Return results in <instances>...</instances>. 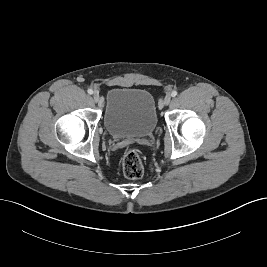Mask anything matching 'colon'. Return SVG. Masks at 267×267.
<instances>
[{
    "instance_id": "colon-1",
    "label": "colon",
    "mask_w": 267,
    "mask_h": 267,
    "mask_svg": "<svg viewBox=\"0 0 267 267\" xmlns=\"http://www.w3.org/2000/svg\"><path fill=\"white\" fill-rule=\"evenodd\" d=\"M123 174L129 179H139L144 174L142 159L135 148H129L122 160Z\"/></svg>"
}]
</instances>
